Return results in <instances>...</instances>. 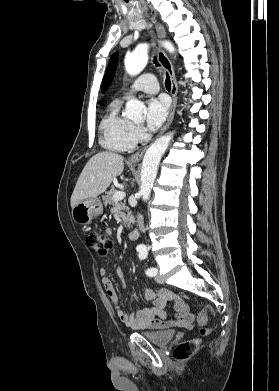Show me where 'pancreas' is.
Wrapping results in <instances>:
<instances>
[{
    "label": "pancreas",
    "mask_w": 279,
    "mask_h": 391,
    "mask_svg": "<svg viewBox=\"0 0 279 391\" xmlns=\"http://www.w3.org/2000/svg\"><path fill=\"white\" fill-rule=\"evenodd\" d=\"M116 193V190L114 188H111L109 191L105 193L103 196V202L104 205H112L111 212H115L119 217L122 219L123 224L128 227H130L131 223L134 222L133 215L129 211V208L126 206L125 202H114L113 196ZM126 211V212H125Z\"/></svg>",
    "instance_id": "obj_1"
}]
</instances>
